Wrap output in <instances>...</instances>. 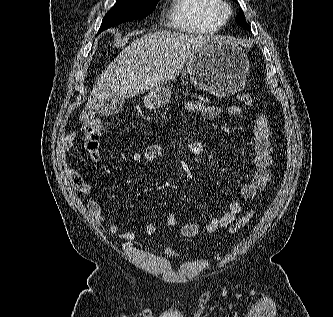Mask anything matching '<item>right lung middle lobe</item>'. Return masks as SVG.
Returning a JSON list of instances; mask_svg holds the SVG:
<instances>
[{
	"instance_id": "1",
	"label": "right lung middle lobe",
	"mask_w": 333,
	"mask_h": 317,
	"mask_svg": "<svg viewBox=\"0 0 333 317\" xmlns=\"http://www.w3.org/2000/svg\"><path fill=\"white\" fill-rule=\"evenodd\" d=\"M158 1L117 0L103 18L99 32L111 26L149 15L155 9Z\"/></svg>"
}]
</instances>
